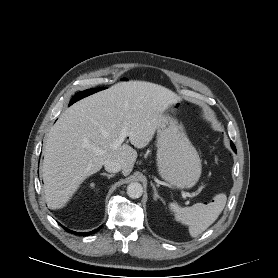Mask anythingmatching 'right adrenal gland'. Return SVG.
Here are the masks:
<instances>
[{
  "label": "right adrenal gland",
  "instance_id": "2a0ac1e0",
  "mask_svg": "<svg viewBox=\"0 0 278 278\" xmlns=\"http://www.w3.org/2000/svg\"><path fill=\"white\" fill-rule=\"evenodd\" d=\"M100 175L106 176L108 179H110L111 177H114L115 174H107V173H101Z\"/></svg>",
  "mask_w": 278,
  "mask_h": 278
}]
</instances>
